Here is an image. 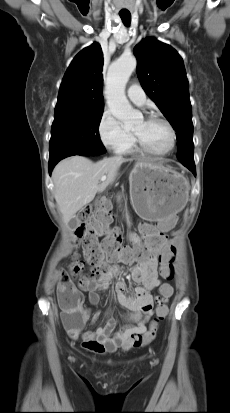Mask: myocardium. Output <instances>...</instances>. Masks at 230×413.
I'll return each instance as SVG.
<instances>
[{"mask_svg": "<svg viewBox=\"0 0 230 413\" xmlns=\"http://www.w3.org/2000/svg\"><path fill=\"white\" fill-rule=\"evenodd\" d=\"M151 120H158L167 127L169 134H170V141H169L168 146L163 150L153 149L149 147L136 133H134L135 140L138 143L141 150H143L144 152L152 154V155H156V156H165L169 154L175 147L176 131L169 120H167L165 117L157 113H152L146 118V121H151Z\"/></svg>", "mask_w": 230, "mask_h": 413, "instance_id": "f54148a6", "label": "myocardium"}]
</instances>
